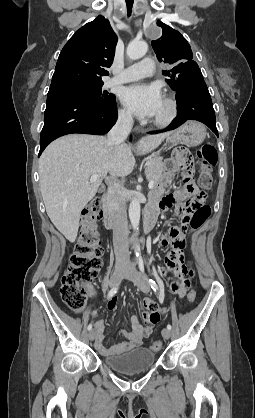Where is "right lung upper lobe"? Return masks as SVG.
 Returning <instances> with one entry per match:
<instances>
[{"instance_id":"right-lung-upper-lobe-1","label":"right lung upper lobe","mask_w":255,"mask_h":418,"mask_svg":"<svg viewBox=\"0 0 255 418\" xmlns=\"http://www.w3.org/2000/svg\"><path fill=\"white\" fill-rule=\"evenodd\" d=\"M117 36L103 16L77 30L63 47L51 86L72 82H103L115 53Z\"/></svg>"}]
</instances>
